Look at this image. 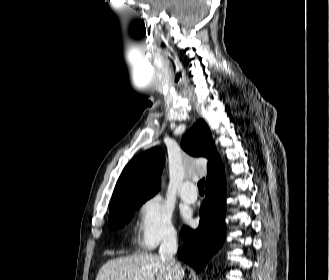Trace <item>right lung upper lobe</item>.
<instances>
[{
  "label": "right lung upper lobe",
  "mask_w": 329,
  "mask_h": 280,
  "mask_svg": "<svg viewBox=\"0 0 329 280\" xmlns=\"http://www.w3.org/2000/svg\"><path fill=\"white\" fill-rule=\"evenodd\" d=\"M181 146L190 155L208 159L206 182L223 170L210 129L203 119L198 120L184 135ZM164 161V152L159 147H154L133 158L117 181L110 211L125 201L152 197L159 189V178Z\"/></svg>",
  "instance_id": "right-lung-upper-lobe-1"
}]
</instances>
